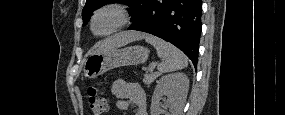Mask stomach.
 Here are the masks:
<instances>
[{
    "mask_svg": "<svg viewBox=\"0 0 285 115\" xmlns=\"http://www.w3.org/2000/svg\"><path fill=\"white\" fill-rule=\"evenodd\" d=\"M147 59L148 50L143 46L115 48L105 53H92L85 60L83 71L87 78H96L113 68L139 65Z\"/></svg>",
    "mask_w": 285,
    "mask_h": 115,
    "instance_id": "obj_1",
    "label": "stomach"
}]
</instances>
